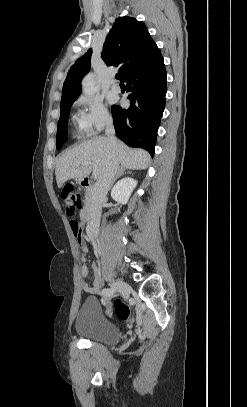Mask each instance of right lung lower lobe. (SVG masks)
Listing matches in <instances>:
<instances>
[{
	"label": "right lung lower lobe",
	"mask_w": 247,
	"mask_h": 407,
	"mask_svg": "<svg viewBox=\"0 0 247 407\" xmlns=\"http://www.w3.org/2000/svg\"><path fill=\"white\" fill-rule=\"evenodd\" d=\"M166 75L162 56L134 69L123 79L131 92L130 107L112 106L118 138L130 147L147 150L151 156L165 108Z\"/></svg>",
	"instance_id": "obj_1"
}]
</instances>
